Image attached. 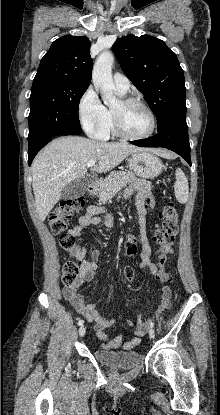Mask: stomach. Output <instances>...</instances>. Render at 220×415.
Masks as SVG:
<instances>
[{"label":"stomach","mask_w":220,"mask_h":415,"mask_svg":"<svg viewBox=\"0 0 220 415\" xmlns=\"http://www.w3.org/2000/svg\"><path fill=\"white\" fill-rule=\"evenodd\" d=\"M128 165L138 176L146 179L157 177L163 170L162 161L146 150L132 153L128 158ZM93 192H97V187H94Z\"/></svg>","instance_id":"obj_1"}]
</instances>
